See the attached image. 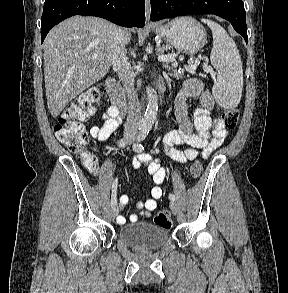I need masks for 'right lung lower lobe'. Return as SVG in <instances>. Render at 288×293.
I'll list each match as a JSON object with an SVG mask.
<instances>
[{
    "instance_id": "obj_1",
    "label": "right lung lower lobe",
    "mask_w": 288,
    "mask_h": 293,
    "mask_svg": "<svg viewBox=\"0 0 288 293\" xmlns=\"http://www.w3.org/2000/svg\"><path fill=\"white\" fill-rule=\"evenodd\" d=\"M77 14L102 17L124 27H143L145 0H45L41 41L53 26Z\"/></svg>"
}]
</instances>
